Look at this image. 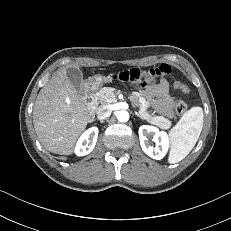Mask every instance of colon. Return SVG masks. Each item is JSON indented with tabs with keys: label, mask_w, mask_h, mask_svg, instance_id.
<instances>
[{
	"label": "colon",
	"mask_w": 231,
	"mask_h": 231,
	"mask_svg": "<svg viewBox=\"0 0 231 231\" xmlns=\"http://www.w3.org/2000/svg\"><path fill=\"white\" fill-rule=\"evenodd\" d=\"M171 72L170 66L166 64L154 68H131L116 74V78L123 82L131 83L137 87H144L154 82L159 77H165ZM187 110V104L183 100H177L175 111L183 115Z\"/></svg>",
	"instance_id": "5ec220e1"
}]
</instances>
